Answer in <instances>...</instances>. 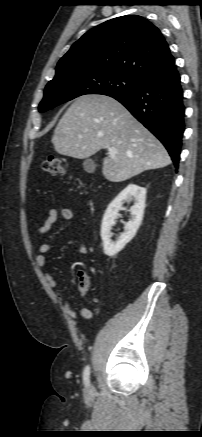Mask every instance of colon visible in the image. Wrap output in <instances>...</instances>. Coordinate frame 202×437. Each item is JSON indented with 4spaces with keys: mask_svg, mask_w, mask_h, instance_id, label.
I'll return each instance as SVG.
<instances>
[{
    "mask_svg": "<svg viewBox=\"0 0 202 437\" xmlns=\"http://www.w3.org/2000/svg\"><path fill=\"white\" fill-rule=\"evenodd\" d=\"M42 170L52 174H61L66 170V162L65 160L58 158L56 156H49L42 162Z\"/></svg>",
    "mask_w": 202,
    "mask_h": 437,
    "instance_id": "5ec220e1",
    "label": "colon"
}]
</instances>
